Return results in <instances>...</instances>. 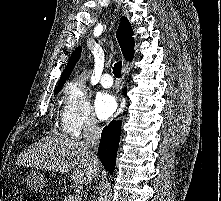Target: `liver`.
I'll return each mask as SVG.
<instances>
[{
	"mask_svg": "<svg viewBox=\"0 0 221 201\" xmlns=\"http://www.w3.org/2000/svg\"><path fill=\"white\" fill-rule=\"evenodd\" d=\"M89 148L84 141L49 136L29 146L19 157L18 163L60 173L73 169L72 181L80 186L88 185L99 168V162L97 167L94 166Z\"/></svg>",
	"mask_w": 221,
	"mask_h": 201,
	"instance_id": "liver-1",
	"label": "liver"
}]
</instances>
